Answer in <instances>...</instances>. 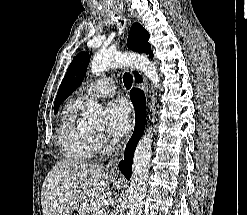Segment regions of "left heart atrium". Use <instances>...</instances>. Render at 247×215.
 I'll return each instance as SVG.
<instances>
[{
	"label": "left heart atrium",
	"mask_w": 247,
	"mask_h": 215,
	"mask_svg": "<svg viewBox=\"0 0 247 215\" xmlns=\"http://www.w3.org/2000/svg\"><path fill=\"white\" fill-rule=\"evenodd\" d=\"M130 127V107L124 99L112 101L106 109V131L115 139L123 137Z\"/></svg>",
	"instance_id": "left-heart-atrium-1"
}]
</instances>
